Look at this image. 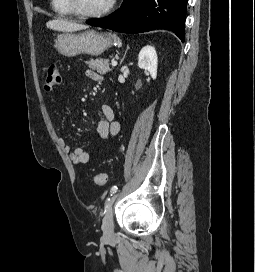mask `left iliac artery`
Listing matches in <instances>:
<instances>
[{
    "instance_id": "obj_1",
    "label": "left iliac artery",
    "mask_w": 255,
    "mask_h": 272,
    "mask_svg": "<svg viewBox=\"0 0 255 272\" xmlns=\"http://www.w3.org/2000/svg\"><path fill=\"white\" fill-rule=\"evenodd\" d=\"M118 190V187L117 186H113L110 190V196H112L114 193H116ZM108 201H110V198H107V201H106V205H105V209L108 208Z\"/></svg>"
}]
</instances>
